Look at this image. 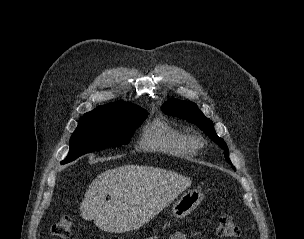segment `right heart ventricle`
<instances>
[{
	"instance_id": "obj_1",
	"label": "right heart ventricle",
	"mask_w": 304,
	"mask_h": 239,
	"mask_svg": "<svg viewBox=\"0 0 304 239\" xmlns=\"http://www.w3.org/2000/svg\"><path fill=\"white\" fill-rule=\"evenodd\" d=\"M140 143L147 150L179 157L193 156L197 149L187 133L159 118L144 127Z\"/></svg>"
}]
</instances>
